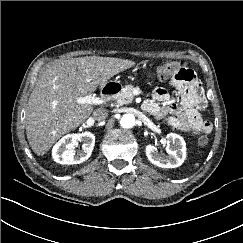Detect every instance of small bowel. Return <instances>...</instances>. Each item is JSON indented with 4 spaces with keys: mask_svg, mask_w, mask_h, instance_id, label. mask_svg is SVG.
<instances>
[{
    "mask_svg": "<svg viewBox=\"0 0 243 243\" xmlns=\"http://www.w3.org/2000/svg\"><path fill=\"white\" fill-rule=\"evenodd\" d=\"M171 85L180 96L179 103H170V95L164 88H156L144 109L157 119L167 118L168 123L181 131L194 135L209 134L212 124L201 117L206 107L202 86L193 71L185 80L172 79Z\"/></svg>",
    "mask_w": 243,
    "mask_h": 243,
    "instance_id": "obj_1",
    "label": "small bowel"
}]
</instances>
